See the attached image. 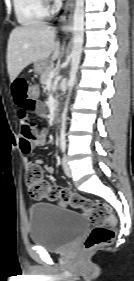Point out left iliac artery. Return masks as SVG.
Instances as JSON below:
<instances>
[{
	"label": "left iliac artery",
	"mask_w": 134,
	"mask_h": 281,
	"mask_svg": "<svg viewBox=\"0 0 134 281\" xmlns=\"http://www.w3.org/2000/svg\"><path fill=\"white\" fill-rule=\"evenodd\" d=\"M60 147H61L62 152H65V149H66V140H65L64 137H62V138L60 139Z\"/></svg>",
	"instance_id": "left-iliac-artery-1"
}]
</instances>
